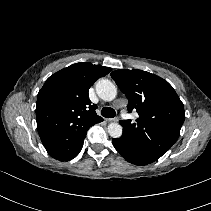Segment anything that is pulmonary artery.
I'll return each instance as SVG.
<instances>
[{"label": "pulmonary artery", "mask_w": 211, "mask_h": 211, "mask_svg": "<svg viewBox=\"0 0 211 211\" xmlns=\"http://www.w3.org/2000/svg\"><path fill=\"white\" fill-rule=\"evenodd\" d=\"M123 116H124L125 118H127V117H128V115H127L126 113H123Z\"/></svg>", "instance_id": "obj_1"}]
</instances>
